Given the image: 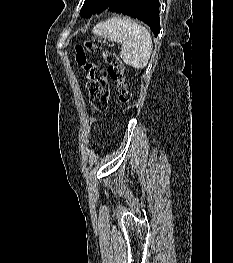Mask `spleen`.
<instances>
[{
    "label": "spleen",
    "instance_id": "3e777b00",
    "mask_svg": "<svg viewBox=\"0 0 233 263\" xmlns=\"http://www.w3.org/2000/svg\"><path fill=\"white\" fill-rule=\"evenodd\" d=\"M98 37L121 43L120 57L135 69H143L150 59L153 44L145 27L127 17H112L98 23L92 30Z\"/></svg>",
    "mask_w": 233,
    "mask_h": 263
}]
</instances>
